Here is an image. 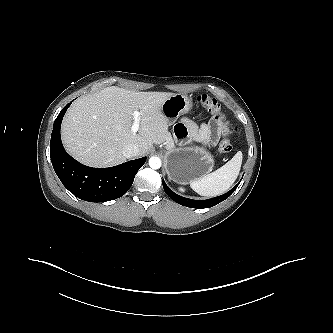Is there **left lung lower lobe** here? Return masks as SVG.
Instances as JSON below:
<instances>
[{"label": "left lung lower lobe", "instance_id": "obj_1", "mask_svg": "<svg viewBox=\"0 0 333 333\" xmlns=\"http://www.w3.org/2000/svg\"><path fill=\"white\" fill-rule=\"evenodd\" d=\"M239 184H240V182L230 191H228L227 193H225L221 196L214 197V198L207 199V200H193V199L185 198V197L175 194L173 191H171L168 188V186L166 185V183L163 180V188H164L166 194L173 201L179 203L180 205L190 207V208H197V209L209 208V207L217 205L218 203H220L223 200H225L226 198H228L235 191V189L238 187Z\"/></svg>", "mask_w": 333, "mask_h": 333}]
</instances>
